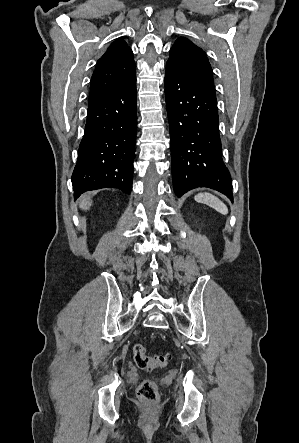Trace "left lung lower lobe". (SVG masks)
Masks as SVG:
<instances>
[{
	"label": "left lung lower lobe",
	"instance_id": "0a47b994",
	"mask_svg": "<svg viewBox=\"0 0 299 443\" xmlns=\"http://www.w3.org/2000/svg\"><path fill=\"white\" fill-rule=\"evenodd\" d=\"M165 96L176 195L208 187L232 200L231 177L221 158L216 95L166 64Z\"/></svg>",
	"mask_w": 299,
	"mask_h": 443
}]
</instances>
